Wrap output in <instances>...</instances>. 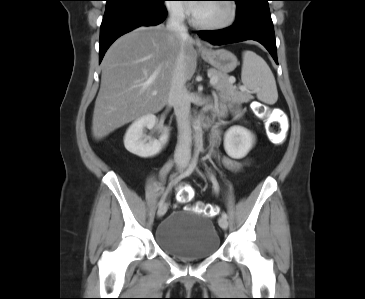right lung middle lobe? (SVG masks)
Returning <instances> with one entry per match:
<instances>
[{
	"label": "right lung middle lobe",
	"mask_w": 365,
	"mask_h": 299,
	"mask_svg": "<svg viewBox=\"0 0 365 299\" xmlns=\"http://www.w3.org/2000/svg\"><path fill=\"white\" fill-rule=\"evenodd\" d=\"M106 7L120 4V3H128V2H150V3H160L164 0H106Z\"/></svg>",
	"instance_id": "dd1d6c3e"
}]
</instances>
